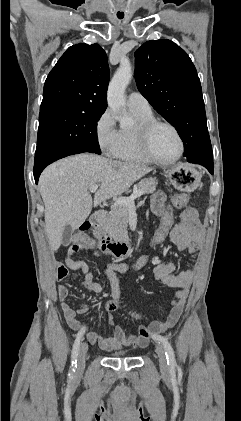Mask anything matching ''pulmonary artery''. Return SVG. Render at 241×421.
I'll list each match as a JSON object with an SVG mask.
<instances>
[{
  "label": "pulmonary artery",
  "instance_id": "pulmonary-artery-1",
  "mask_svg": "<svg viewBox=\"0 0 241 421\" xmlns=\"http://www.w3.org/2000/svg\"><path fill=\"white\" fill-rule=\"evenodd\" d=\"M127 105L130 110H136L141 112H151V106L147 99L138 92H132L129 94L127 99Z\"/></svg>",
  "mask_w": 241,
  "mask_h": 421
}]
</instances>
